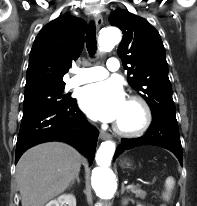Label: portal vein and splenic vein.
Wrapping results in <instances>:
<instances>
[{"instance_id":"18ae733b","label":"portal vein and splenic vein","mask_w":197,"mask_h":206,"mask_svg":"<svg viewBox=\"0 0 197 206\" xmlns=\"http://www.w3.org/2000/svg\"><path fill=\"white\" fill-rule=\"evenodd\" d=\"M147 184H149V182H147ZM132 187H133V185H132V184L127 185V188H132Z\"/></svg>"}]
</instances>
